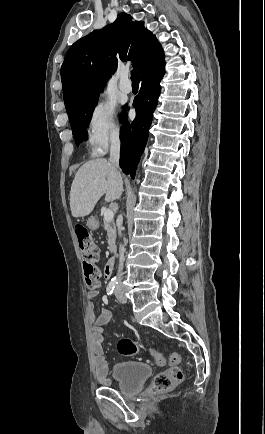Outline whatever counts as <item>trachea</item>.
Wrapping results in <instances>:
<instances>
[{"label":"trachea","mask_w":265,"mask_h":434,"mask_svg":"<svg viewBox=\"0 0 265 434\" xmlns=\"http://www.w3.org/2000/svg\"><path fill=\"white\" fill-rule=\"evenodd\" d=\"M132 84H139V74L135 70L131 71Z\"/></svg>","instance_id":"obj_1"}]
</instances>
